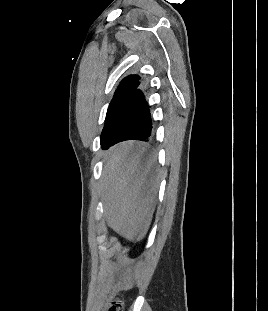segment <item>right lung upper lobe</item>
<instances>
[{
	"mask_svg": "<svg viewBox=\"0 0 268 311\" xmlns=\"http://www.w3.org/2000/svg\"><path fill=\"white\" fill-rule=\"evenodd\" d=\"M139 79H140V77L137 75H130L121 81L117 90L122 89V88H126V87L136 88V86L139 85V81H138Z\"/></svg>",
	"mask_w": 268,
	"mask_h": 311,
	"instance_id": "cb5924a9",
	"label": "right lung upper lobe"
}]
</instances>
